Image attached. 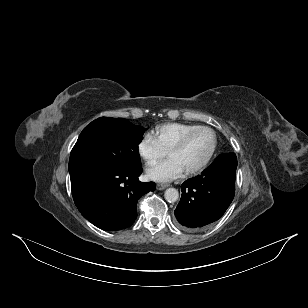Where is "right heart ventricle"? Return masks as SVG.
Wrapping results in <instances>:
<instances>
[{
    "instance_id": "e07e8e85",
    "label": "right heart ventricle",
    "mask_w": 308,
    "mask_h": 308,
    "mask_svg": "<svg viewBox=\"0 0 308 308\" xmlns=\"http://www.w3.org/2000/svg\"><path fill=\"white\" fill-rule=\"evenodd\" d=\"M198 126L197 124L191 123L169 122L156 126L152 135L161 148L167 151L186 132Z\"/></svg>"
}]
</instances>
